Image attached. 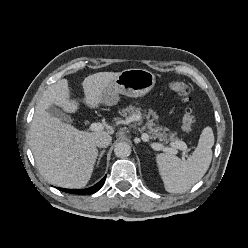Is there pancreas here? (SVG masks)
Instances as JSON below:
<instances>
[{
  "label": "pancreas",
  "mask_w": 248,
  "mask_h": 248,
  "mask_svg": "<svg viewBox=\"0 0 248 248\" xmlns=\"http://www.w3.org/2000/svg\"><path fill=\"white\" fill-rule=\"evenodd\" d=\"M142 109L141 107H136L134 105H129L126 108H123L119 111V114L123 117H131L134 121H141L142 118ZM145 115L147 119V123L145 126L142 127V130H147L148 134L153 139H158L160 142H163V144L170 143L171 145L173 143H181L179 138H177L175 133H169L167 134L166 131L167 128H163L162 126H157L154 121L158 120V116L156 113L152 110H149L148 114ZM152 116V119L150 117Z\"/></svg>",
  "instance_id": "pancreas-1"
}]
</instances>
